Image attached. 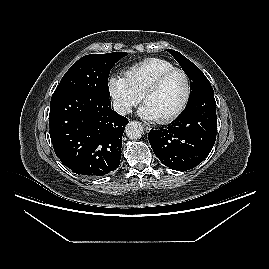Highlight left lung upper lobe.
<instances>
[{
  "mask_svg": "<svg viewBox=\"0 0 269 269\" xmlns=\"http://www.w3.org/2000/svg\"><path fill=\"white\" fill-rule=\"evenodd\" d=\"M167 51L170 52L175 60L181 65L183 71L190 79L191 90L190 99L188 102L195 99L201 93L212 90L209 80L195 64L175 50L168 49Z\"/></svg>",
  "mask_w": 269,
  "mask_h": 269,
  "instance_id": "1",
  "label": "left lung upper lobe"
}]
</instances>
